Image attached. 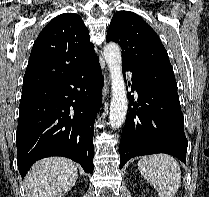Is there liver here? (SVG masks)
<instances>
[{
	"label": "liver",
	"mask_w": 209,
	"mask_h": 197,
	"mask_svg": "<svg viewBox=\"0 0 209 197\" xmlns=\"http://www.w3.org/2000/svg\"><path fill=\"white\" fill-rule=\"evenodd\" d=\"M77 164L63 157H50L35 163L25 179L31 197H62L76 183Z\"/></svg>",
	"instance_id": "liver-1"
}]
</instances>
